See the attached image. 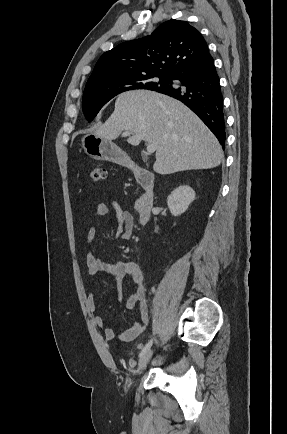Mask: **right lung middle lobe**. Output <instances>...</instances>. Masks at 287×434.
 I'll list each match as a JSON object with an SVG mask.
<instances>
[{
    "label": "right lung middle lobe",
    "instance_id": "1",
    "mask_svg": "<svg viewBox=\"0 0 287 434\" xmlns=\"http://www.w3.org/2000/svg\"><path fill=\"white\" fill-rule=\"evenodd\" d=\"M174 77L151 74L131 78H114L87 83L82 108L85 117L92 121L99 110L116 95L134 89L165 90Z\"/></svg>",
    "mask_w": 287,
    "mask_h": 434
}]
</instances>
